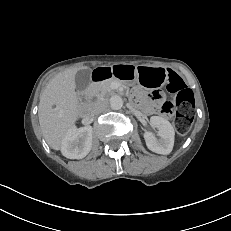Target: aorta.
I'll return each mask as SVG.
<instances>
[{"label":"aorta","mask_w":231,"mask_h":231,"mask_svg":"<svg viewBox=\"0 0 231 231\" xmlns=\"http://www.w3.org/2000/svg\"><path fill=\"white\" fill-rule=\"evenodd\" d=\"M109 102H110V107L113 109V110H119L122 108L123 106V99L118 96V95H113L110 99H109Z\"/></svg>","instance_id":"762f6f07"}]
</instances>
